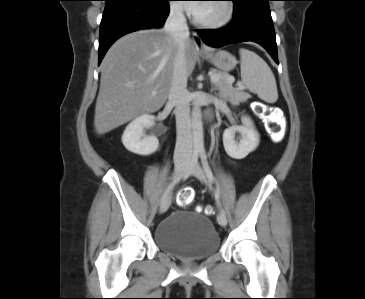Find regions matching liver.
Segmentation results:
<instances>
[{
    "label": "liver",
    "instance_id": "1",
    "mask_svg": "<svg viewBox=\"0 0 365 299\" xmlns=\"http://www.w3.org/2000/svg\"><path fill=\"white\" fill-rule=\"evenodd\" d=\"M176 53L177 45L164 29L133 32L112 45L101 64L94 117L98 134L156 112L165 104ZM185 59L187 76H190L196 63V51L189 38L185 44Z\"/></svg>",
    "mask_w": 365,
    "mask_h": 299
}]
</instances>
